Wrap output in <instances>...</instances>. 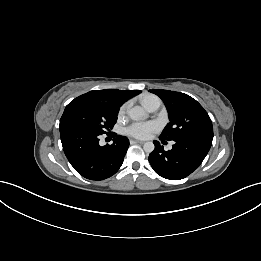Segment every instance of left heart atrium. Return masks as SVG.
<instances>
[{
    "instance_id": "obj_1",
    "label": "left heart atrium",
    "mask_w": 261,
    "mask_h": 261,
    "mask_svg": "<svg viewBox=\"0 0 261 261\" xmlns=\"http://www.w3.org/2000/svg\"><path fill=\"white\" fill-rule=\"evenodd\" d=\"M157 129V125L153 122H137L131 124L126 129V133L135 138H147L152 132Z\"/></svg>"
}]
</instances>
